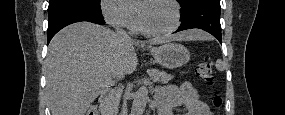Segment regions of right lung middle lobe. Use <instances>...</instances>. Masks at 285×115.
I'll use <instances>...</instances> for the list:
<instances>
[{
	"label": "right lung middle lobe",
	"instance_id": "1",
	"mask_svg": "<svg viewBox=\"0 0 285 115\" xmlns=\"http://www.w3.org/2000/svg\"><path fill=\"white\" fill-rule=\"evenodd\" d=\"M71 9L101 13L100 0H50L48 15Z\"/></svg>",
	"mask_w": 285,
	"mask_h": 115
}]
</instances>
